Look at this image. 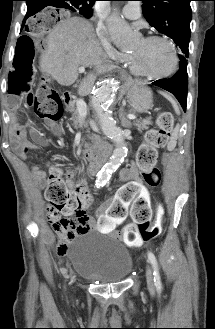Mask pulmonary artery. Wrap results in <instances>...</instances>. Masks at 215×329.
<instances>
[{
	"label": "pulmonary artery",
	"instance_id": "1",
	"mask_svg": "<svg viewBox=\"0 0 215 329\" xmlns=\"http://www.w3.org/2000/svg\"><path fill=\"white\" fill-rule=\"evenodd\" d=\"M122 15L130 20H136L141 16V7L138 2H128L122 9Z\"/></svg>",
	"mask_w": 215,
	"mask_h": 329
}]
</instances>
